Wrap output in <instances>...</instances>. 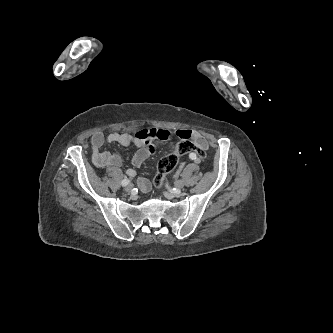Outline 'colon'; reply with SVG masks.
Instances as JSON below:
<instances>
[{
	"label": "colon",
	"instance_id": "1",
	"mask_svg": "<svg viewBox=\"0 0 333 333\" xmlns=\"http://www.w3.org/2000/svg\"><path fill=\"white\" fill-rule=\"evenodd\" d=\"M190 153H194L197 156V161L203 160L206 155L205 149L200 148L189 138H184L176 145L174 152L164 156L159 161L158 173L154 180V184L158 189L163 187L166 175L176 167L178 158Z\"/></svg>",
	"mask_w": 333,
	"mask_h": 333
}]
</instances>
